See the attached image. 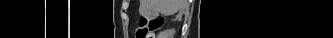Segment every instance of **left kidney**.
I'll use <instances>...</instances> for the list:
<instances>
[{
    "label": "left kidney",
    "mask_w": 333,
    "mask_h": 38,
    "mask_svg": "<svg viewBox=\"0 0 333 38\" xmlns=\"http://www.w3.org/2000/svg\"><path fill=\"white\" fill-rule=\"evenodd\" d=\"M164 33L167 34V35H170V34L174 33V30L173 29H168V30H165Z\"/></svg>",
    "instance_id": "left-kidney-1"
}]
</instances>
